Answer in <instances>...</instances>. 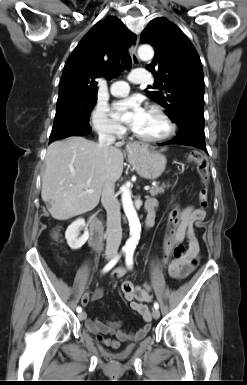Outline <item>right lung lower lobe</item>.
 I'll list each match as a JSON object with an SVG mask.
<instances>
[{"label": "right lung lower lobe", "mask_w": 247, "mask_h": 385, "mask_svg": "<svg viewBox=\"0 0 247 385\" xmlns=\"http://www.w3.org/2000/svg\"><path fill=\"white\" fill-rule=\"evenodd\" d=\"M91 131L89 124L75 123L66 125L56 130H52L49 143L66 138L68 136H83Z\"/></svg>", "instance_id": "obj_1"}]
</instances>
